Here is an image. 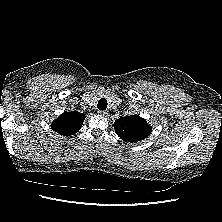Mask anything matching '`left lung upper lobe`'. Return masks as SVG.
Wrapping results in <instances>:
<instances>
[{"instance_id": "1", "label": "left lung upper lobe", "mask_w": 222, "mask_h": 222, "mask_svg": "<svg viewBox=\"0 0 222 222\" xmlns=\"http://www.w3.org/2000/svg\"><path fill=\"white\" fill-rule=\"evenodd\" d=\"M114 129L121 139L130 143L141 141L151 133V126L138 115L117 119L114 123Z\"/></svg>"}]
</instances>
